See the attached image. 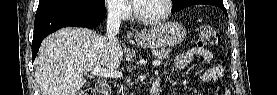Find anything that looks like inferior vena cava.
<instances>
[{"label": "inferior vena cava", "instance_id": "obj_1", "mask_svg": "<svg viewBox=\"0 0 277 95\" xmlns=\"http://www.w3.org/2000/svg\"><path fill=\"white\" fill-rule=\"evenodd\" d=\"M121 23V9L118 5H112L108 10L107 18V36L110 48H115L118 44L116 35L119 32V27Z\"/></svg>", "mask_w": 277, "mask_h": 95}]
</instances>
